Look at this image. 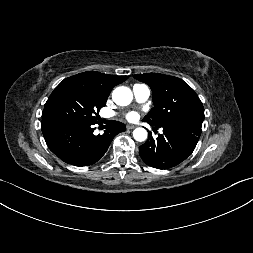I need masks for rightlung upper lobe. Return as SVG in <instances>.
<instances>
[{"label": "right lung upper lobe", "instance_id": "cb5924a9", "mask_svg": "<svg viewBox=\"0 0 253 253\" xmlns=\"http://www.w3.org/2000/svg\"><path fill=\"white\" fill-rule=\"evenodd\" d=\"M74 76L84 81L95 92L107 98L114 86L127 79V76H114L95 71H87Z\"/></svg>", "mask_w": 253, "mask_h": 253}]
</instances>
